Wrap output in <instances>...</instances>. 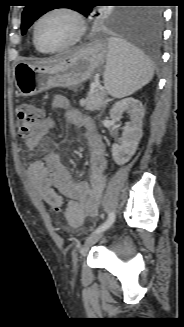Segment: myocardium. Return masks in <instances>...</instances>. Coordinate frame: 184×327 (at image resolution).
I'll list each match as a JSON object with an SVG mask.
<instances>
[{
  "label": "myocardium",
  "instance_id": "f54148a6",
  "mask_svg": "<svg viewBox=\"0 0 184 327\" xmlns=\"http://www.w3.org/2000/svg\"><path fill=\"white\" fill-rule=\"evenodd\" d=\"M54 13H64V14L69 15L76 24L77 32H76L75 36L72 38V40H70L68 43H66L62 46L56 47V48H46L39 43L38 36H37V30H38V26H39L40 22L43 19H45L47 16L54 14ZM86 32H87V25H86V22L80 12H78L76 9L69 7V6H57V7L50 8L47 11L43 12L36 19V21L33 25V41H34L35 46L40 51H42L44 53H56V52H61V51L67 50V49L75 46L76 44H78L83 39Z\"/></svg>",
  "mask_w": 184,
  "mask_h": 327
}]
</instances>
